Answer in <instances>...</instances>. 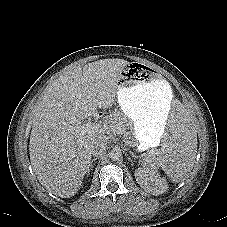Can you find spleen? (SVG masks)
I'll list each match as a JSON object with an SVG mask.
<instances>
[{
  "instance_id": "1",
  "label": "spleen",
  "mask_w": 227,
  "mask_h": 227,
  "mask_svg": "<svg viewBox=\"0 0 227 227\" xmlns=\"http://www.w3.org/2000/svg\"><path fill=\"white\" fill-rule=\"evenodd\" d=\"M196 153L197 134L189 110L183 104H176L170 110L162 150L145 151L140 165L149 174L163 170L173 182H181L193 169Z\"/></svg>"
}]
</instances>
